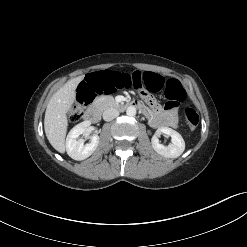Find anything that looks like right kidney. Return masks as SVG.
I'll list each match as a JSON object with an SVG mask.
<instances>
[{"label":"right kidney","instance_id":"1","mask_svg":"<svg viewBox=\"0 0 247 247\" xmlns=\"http://www.w3.org/2000/svg\"><path fill=\"white\" fill-rule=\"evenodd\" d=\"M90 126L89 121H84L73 127L66 139L67 154L74 160H84L96 150L99 144V136H91V142L84 145V139L79 138Z\"/></svg>","mask_w":247,"mask_h":247}]
</instances>
